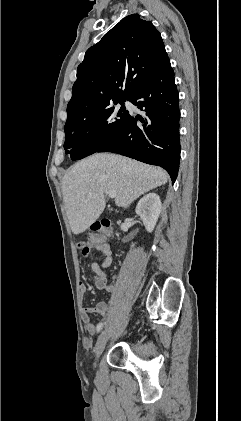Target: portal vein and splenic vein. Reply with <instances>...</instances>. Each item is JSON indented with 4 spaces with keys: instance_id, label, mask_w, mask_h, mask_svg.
<instances>
[{
    "instance_id": "portal-vein-and-splenic-vein-1",
    "label": "portal vein and splenic vein",
    "mask_w": 241,
    "mask_h": 421,
    "mask_svg": "<svg viewBox=\"0 0 241 421\" xmlns=\"http://www.w3.org/2000/svg\"><path fill=\"white\" fill-rule=\"evenodd\" d=\"M108 196L110 198H115L116 197V193L114 191H110V192H108Z\"/></svg>"
}]
</instances>
